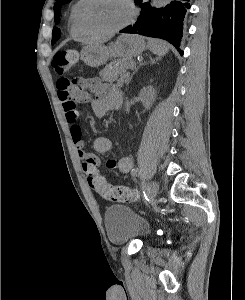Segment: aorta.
<instances>
[{"label": "aorta", "instance_id": "obj_1", "mask_svg": "<svg viewBox=\"0 0 245 300\" xmlns=\"http://www.w3.org/2000/svg\"><path fill=\"white\" fill-rule=\"evenodd\" d=\"M170 0H152V6L155 8H161L167 5Z\"/></svg>", "mask_w": 245, "mask_h": 300}]
</instances>
